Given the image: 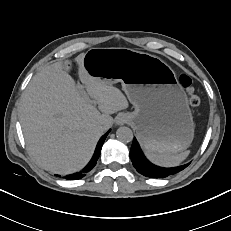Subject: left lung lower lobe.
<instances>
[{
    "label": "left lung lower lobe",
    "instance_id": "1",
    "mask_svg": "<svg viewBox=\"0 0 231 231\" xmlns=\"http://www.w3.org/2000/svg\"><path fill=\"white\" fill-rule=\"evenodd\" d=\"M130 158L136 170L146 176L151 178H165L170 175H174L183 169H185L190 163L172 167V168H162L151 164L146 157L143 155L137 140L134 138L132 147L130 150Z\"/></svg>",
    "mask_w": 231,
    "mask_h": 231
}]
</instances>
